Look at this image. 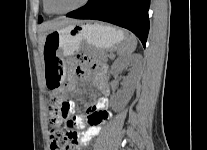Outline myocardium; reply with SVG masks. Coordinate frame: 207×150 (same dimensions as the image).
Returning a JSON list of instances; mask_svg holds the SVG:
<instances>
[{
	"label": "myocardium",
	"instance_id": "1",
	"mask_svg": "<svg viewBox=\"0 0 207 150\" xmlns=\"http://www.w3.org/2000/svg\"><path fill=\"white\" fill-rule=\"evenodd\" d=\"M90 0H82L78 5L64 11H57L52 8L50 0H45V4L47 9L52 13V14H68L71 12H74L82 7H84Z\"/></svg>",
	"mask_w": 207,
	"mask_h": 150
}]
</instances>
